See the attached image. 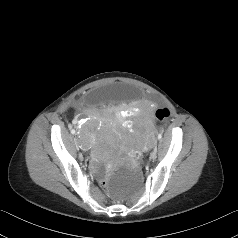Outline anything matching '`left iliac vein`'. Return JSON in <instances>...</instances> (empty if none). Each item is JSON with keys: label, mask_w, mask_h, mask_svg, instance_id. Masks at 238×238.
<instances>
[{"label": "left iliac vein", "mask_w": 238, "mask_h": 238, "mask_svg": "<svg viewBox=\"0 0 238 238\" xmlns=\"http://www.w3.org/2000/svg\"><path fill=\"white\" fill-rule=\"evenodd\" d=\"M158 148H159V145H156L154 150L152 151V154H151L152 158H156V152H157Z\"/></svg>", "instance_id": "left-iliac-vein-1"}]
</instances>
